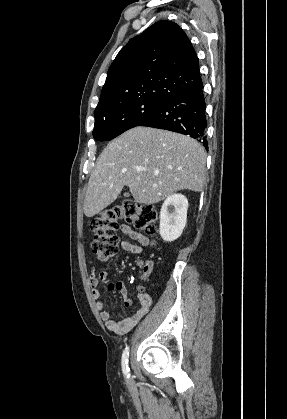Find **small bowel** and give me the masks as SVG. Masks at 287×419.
<instances>
[{
    "label": "small bowel",
    "instance_id": "1",
    "mask_svg": "<svg viewBox=\"0 0 287 419\" xmlns=\"http://www.w3.org/2000/svg\"><path fill=\"white\" fill-rule=\"evenodd\" d=\"M122 233L130 237L138 242V244H133L129 241H121V247L124 251L132 253L134 255H140L143 251V247L148 244V238L143 234L133 230L129 226H122L121 228ZM150 274V269L146 268L145 275ZM106 280V272L101 271L98 275L94 272L90 276V285L92 287V297L94 299L100 298V291L98 289V285L100 281ZM108 289L112 291H117L120 293L124 299V303L126 306H132L134 304V300L128 297V292L126 286L123 282H108L107 283ZM138 301L140 302V306L134 311L130 316L121 320L115 321L111 319V315L109 310L105 307V304L101 301L96 303V308L100 314L101 319L105 322L106 327L117 334H124L131 330L140 320L141 318L148 312L152 305V298L150 295L144 292H138L136 294Z\"/></svg>",
    "mask_w": 287,
    "mask_h": 419
}]
</instances>
